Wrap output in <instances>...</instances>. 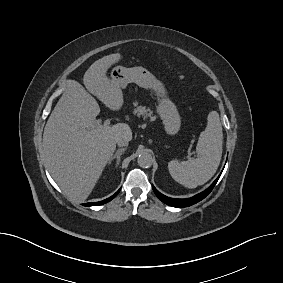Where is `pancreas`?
Segmentation results:
<instances>
[{"mask_svg": "<svg viewBox=\"0 0 283 283\" xmlns=\"http://www.w3.org/2000/svg\"><path fill=\"white\" fill-rule=\"evenodd\" d=\"M134 106H136V108L134 109L133 113L138 117L142 116L144 119L148 117L155 118L153 117V111L151 109L141 105L137 106V103H134Z\"/></svg>", "mask_w": 283, "mask_h": 283, "instance_id": "obj_1", "label": "pancreas"}]
</instances>
